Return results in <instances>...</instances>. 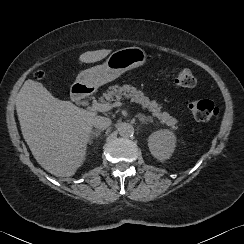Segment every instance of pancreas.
<instances>
[{"mask_svg": "<svg viewBox=\"0 0 244 244\" xmlns=\"http://www.w3.org/2000/svg\"><path fill=\"white\" fill-rule=\"evenodd\" d=\"M103 98L108 102L119 101L123 98L130 99L132 102L139 103L144 109H148L152 112L154 117H157L162 124H165L172 129H177L178 120L169 113L162 110V106L155 100H150L144 93L137 90L130 85H114L110 86L106 93L103 94Z\"/></svg>", "mask_w": 244, "mask_h": 244, "instance_id": "pancreas-1", "label": "pancreas"}]
</instances>
